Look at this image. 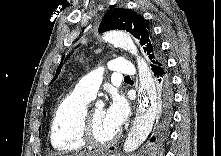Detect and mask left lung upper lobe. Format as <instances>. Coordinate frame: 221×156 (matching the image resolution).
<instances>
[{"label": "left lung upper lobe", "instance_id": "left-lung-upper-lobe-1", "mask_svg": "<svg viewBox=\"0 0 221 156\" xmlns=\"http://www.w3.org/2000/svg\"><path fill=\"white\" fill-rule=\"evenodd\" d=\"M112 29L126 30L135 38L139 39L140 44L143 46L144 51L147 53L152 63L151 67L160 62H164V58L161 55L158 43L153 37L151 28L141 15L128 9H113L103 18L99 25V32H105ZM63 60L64 56L57 68L54 79L57 78L62 69Z\"/></svg>", "mask_w": 221, "mask_h": 156}]
</instances>
